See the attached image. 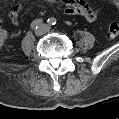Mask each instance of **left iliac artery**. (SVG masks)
Masks as SVG:
<instances>
[{"instance_id": "44dca946", "label": "left iliac artery", "mask_w": 119, "mask_h": 119, "mask_svg": "<svg viewBox=\"0 0 119 119\" xmlns=\"http://www.w3.org/2000/svg\"><path fill=\"white\" fill-rule=\"evenodd\" d=\"M47 23L49 25H55L56 24V19L54 17H51L47 20Z\"/></svg>"}]
</instances>
